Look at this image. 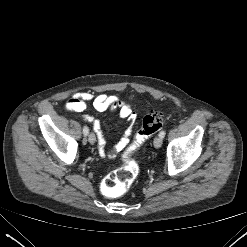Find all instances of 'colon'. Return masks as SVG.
<instances>
[{"mask_svg":"<svg viewBox=\"0 0 247 247\" xmlns=\"http://www.w3.org/2000/svg\"><path fill=\"white\" fill-rule=\"evenodd\" d=\"M163 119L160 113L150 111L142 120L133 143L126 150L123 165L110 172L102 182V191L108 197H116L123 194L132 184L138 174V165L131 157L151 135L162 127Z\"/></svg>","mask_w":247,"mask_h":247,"instance_id":"1","label":"colon"}]
</instances>
